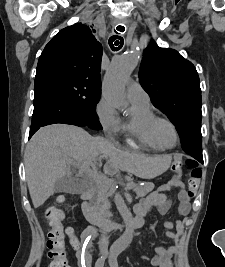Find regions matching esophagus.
<instances>
[{
    "instance_id": "esophagus-1",
    "label": "esophagus",
    "mask_w": 225,
    "mask_h": 267,
    "mask_svg": "<svg viewBox=\"0 0 225 267\" xmlns=\"http://www.w3.org/2000/svg\"><path fill=\"white\" fill-rule=\"evenodd\" d=\"M125 23H127L126 21H123V22H121V24L123 25V24H125ZM117 29V28H116ZM118 31V30H117ZM118 32H120V31H118Z\"/></svg>"
}]
</instances>
